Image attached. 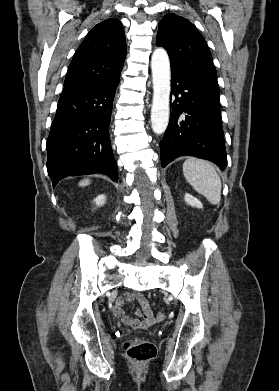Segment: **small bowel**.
<instances>
[{
  "label": "small bowel",
  "instance_id": "1",
  "mask_svg": "<svg viewBox=\"0 0 279 391\" xmlns=\"http://www.w3.org/2000/svg\"><path fill=\"white\" fill-rule=\"evenodd\" d=\"M126 301H136L140 304L141 309L136 311V315L141 319L133 318L125 313L123 305ZM113 312L115 316L119 317L123 321V323L135 329H147L154 324L153 311L149 305V302L142 294L126 293L124 296L117 299L113 308Z\"/></svg>",
  "mask_w": 279,
  "mask_h": 391
}]
</instances>
